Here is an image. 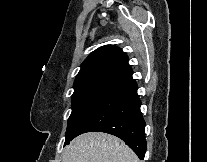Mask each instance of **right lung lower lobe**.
<instances>
[{"label":"right lung lower lobe","instance_id":"98d812e1","mask_svg":"<svg viewBox=\"0 0 207 162\" xmlns=\"http://www.w3.org/2000/svg\"><path fill=\"white\" fill-rule=\"evenodd\" d=\"M140 106L137 84L131 78L115 88L86 116L67 143L85 132H105L121 138L143 160L145 121Z\"/></svg>","mask_w":207,"mask_h":162}]
</instances>
